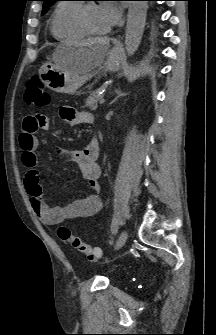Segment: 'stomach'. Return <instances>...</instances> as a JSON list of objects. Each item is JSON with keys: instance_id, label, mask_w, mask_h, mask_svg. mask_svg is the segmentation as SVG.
Listing matches in <instances>:
<instances>
[{"instance_id": "obj_1", "label": "stomach", "mask_w": 216, "mask_h": 335, "mask_svg": "<svg viewBox=\"0 0 216 335\" xmlns=\"http://www.w3.org/2000/svg\"><path fill=\"white\" fill-rule=\"evenodd\" d=\"M77 50L67 46H60L55 50L54 62L45 64L39 71L40 79L46 87L57 93L77 94L79 89L98 72H116L122 63V51L116 46L106 54V59L99 66L98 71L73 73L65 69V65Z\"/></svg>"}]
</instances>
